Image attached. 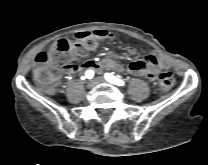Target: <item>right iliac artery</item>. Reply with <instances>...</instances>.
<instances>
[{"mask_svg": "<svg viewBox=\"0 0 208 165\" xmlns=\"http://www.w3.org/2000/svg\"><path fill=\"white\" fill-rule=\"evenodd\" d=\"M93 76H94V72H93L92 70H88V71L86 72V77H87L88 79L93 78Z\"/></svg>", "mask_w": 208, "mask_h": 165, "instance_id": "right-iliac-artery-1", "label": "right iliac artery"}]
</instances>
